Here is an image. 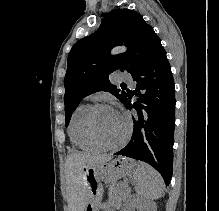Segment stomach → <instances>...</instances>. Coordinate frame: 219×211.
Listing matches in <instances>:
<instances>
[{
	"label": "stomach",
	"mask_w": 219,
	"mask_h": 211,
	"mask_svg": "<svg viewBox=\"0 0 219 211\" xmlns=\"http://www.w3.org/2000/svg\"><path fill=\"white\" fill-rule=\"evenodd\" d=\"M137 163L129 158L116 157L94 167H84L83 175L88 196L85 211H97L101 182L113 183L135 171Z\"/></svg>",
	"instance_id": "stomach-1"
}]
</instances>
